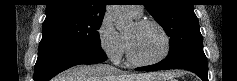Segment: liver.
I'll return each mask as SVG.
<instances>
[{"label":"liver","mask_w":237,"mask_h":81,"mask_svg":"<svg viewBox=\"0 0 237 81\" xmlns=\"http://www.w3.org/2000/svg\"><path fill=\"white\" fill-rule=\"evenodd\" d=\"M162 73L127 74L107 64L77 65L61 73L56 81H151Z\"/></svg>","instance_id":"liver-1"}]
</instances>
